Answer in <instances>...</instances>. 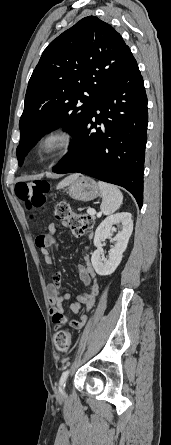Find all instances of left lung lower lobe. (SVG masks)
Here are the masks:
<instances>
[{
    "instance_id": "1",
    "label": "left lung lower lobe",
    "mask_w": 171,
    "mask_h": 445,
    "mask_svg": "<svg viewBox=\"0 0 171 445\" xmlns=\"http://www.w3.org/2000/svg\"><path fill=\"white\" fill-rule=\"evenodd\" d=\"M147 125V96L136 64L107 84L70 151L52 171L78 172L122 186L141 208Z\"/></svg>"
}]
</instances>
